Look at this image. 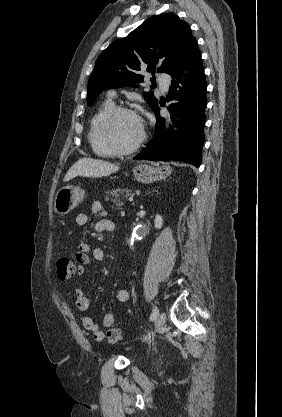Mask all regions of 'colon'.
<instances>
[{
	"mask_svg": "<svg viewBox=\"0 0 282 417\" xmlns=\"http://www.w3.org/2000/svg\"><path fill=\"white\" fill-rule=\"evenodd\" d=\"M82 271V266H73V260L68 256H60L57 260V275L60 279H69ZM121 330H107L105 336L106 344H117L121 339Z\"/></svg>",
	"mask_w": 282,
	"mask_h": 417,
	"instance_id": "obj_1",
	"label": "colon"
}]
</instances>
